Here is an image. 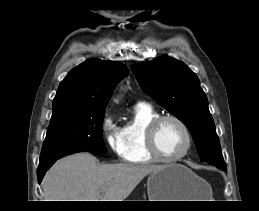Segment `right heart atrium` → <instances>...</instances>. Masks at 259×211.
Returning <instances> with one entry per match:
<instances>
[{
	"instance_id": "d8ad5b80",
	"label": "right heart atrium",
	"mask_w": 259,
	"mask_h": 211,
	"mask_svg": "<svg viewBox=\"0 0 259 211\" xmlns=\"http://www.w3.org/2000/svg\"><path fill=\"white\" fill-rule=\"evenodd\" d=\"M101 131L108 148L116 155L121 157L123 144L120 129L110 113H106L101 121Z\"/></svg>"
}]
</instances>
